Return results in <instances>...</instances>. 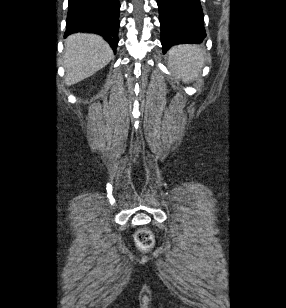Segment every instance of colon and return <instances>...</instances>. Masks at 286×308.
<instances>
[{
    "instance_id": "colon-1",
    "label": "colon",
    "mask_w": 286,
    "mask_h": 308,
    "mask_svg": "<svg viewBox=\"0 0 286 308\" xmlns=\"http://www.w3.org/2000/svg\"><path fill=\"white\" fill-rule=\"evenodd\" d=\"M135 241L139 247L147 249L153 245L154 239L152 233L148 229H140L135 235Z\"/></svg>"
}]
</instances>
